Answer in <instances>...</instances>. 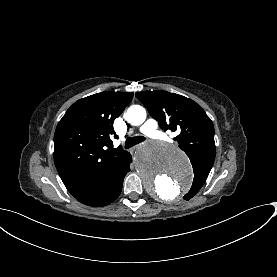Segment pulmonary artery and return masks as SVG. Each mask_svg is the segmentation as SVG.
Segmentation results:
<instances>
[{
	"mask_svg": "<svg viewBox=\"0 0 277 277\" xmlns=\"http://www.w3.org/2000/svg\"><path fill=\"white\" fill-rule=\"evenodd\" d=\"M142 133L147 137L154 138L156 141H164L172 136L171 131H164L160 127L155 126L153 120H146L142 126Z\"/></svg>",
	"mask_w": 277,
	"mask_h": 277,
	"instance_id": "1",
	"label": "pulmonary artery"
}]
</instances>
